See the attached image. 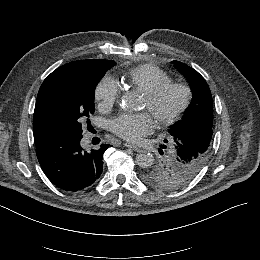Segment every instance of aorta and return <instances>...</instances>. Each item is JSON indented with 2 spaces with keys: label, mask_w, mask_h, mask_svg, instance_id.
Instances as JSON below:
<instances>
[{
  "label": "aorta",
  "mask_w": 260,
  "mask_h": 260,
  "mask_svg": "<svg viewBox=\"0 0 260 260\" xmlns=\"http://www.w3.org/2000/svg\"><path fill=\"white\" fill-rule=\"evenodd\" d=\"M121 106L125 110H136L138 108V102L137 99L131 95L126 94L122 97L121 100ZM154 162V157L152 153L144 151L136 156V163L141 168H147L150 167Z\"/></svg>",
  "instance_id": "1"
}]
</instances>
